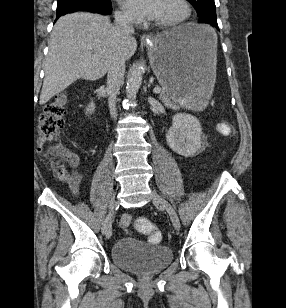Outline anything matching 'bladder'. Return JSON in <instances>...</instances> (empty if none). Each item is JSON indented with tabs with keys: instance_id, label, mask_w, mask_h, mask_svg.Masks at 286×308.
<instances>
[{
	"instance_id": "obj_1",
	"label": "bladder",
	"mask_w": 286,
	"mask_h": 308,
	"mask_svg": "<svg viewBox=\"0 0 286 308\" xmlns=\"http://www.w3.org/2000/svg\"><path fill=\"white\" fill-rule=\"evenodd\" d=\"M111 258L122 269L146 274L165 268L173 259V251L167 246L121 238L113 243Z\"/></svg>"
}]
</instances>
